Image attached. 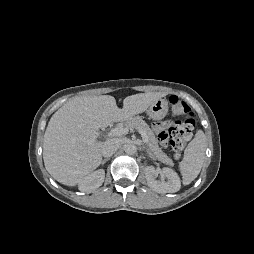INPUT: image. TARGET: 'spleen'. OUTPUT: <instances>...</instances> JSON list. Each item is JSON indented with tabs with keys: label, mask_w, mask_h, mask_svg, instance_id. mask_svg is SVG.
I'll use <instances>...</instances> for the list:
<instances>
[{
	"label": "spleen",
	"mask_w": 254,
	"mask_h": 254,
	"mask_svg": "<svg viewBox=\"0 0 254 254\" xmlns=\"http://www.w3.org/2000/svg\"><path fill=\"white\" fill-rule=\"evenodd\" d=\"M206 147V135L202 130H198L186 147L183 160L179 163L184 185L190 184L199 175L204 163Z\"/></svg>",
	"instance_id": "3e777b00"
}]
</instances>
